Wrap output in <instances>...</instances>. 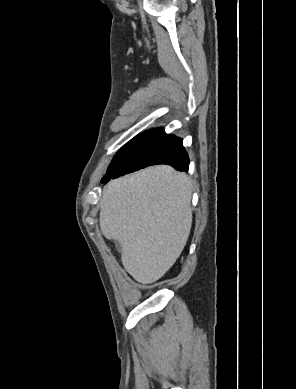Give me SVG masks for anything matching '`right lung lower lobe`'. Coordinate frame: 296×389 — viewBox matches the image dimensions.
I'll return each instance as SVG.
<instances>
[{
    "mask_svg": "<svg viewBox=\"0 0 296 389\" xmlns=\"http://www.w3.org/2000/svg\"><path fill=\"white\" fill-rule=\"evenodd\" d=\"M168 164L179 171H188L189 158L186 153L182 139L174 135H167L149 153L146 162L137 168H126L120 170L107 171L102 178L103 183H107L111 178H117L130 172L137 171L151 165Z\"/></svg>",
    "mask_w": 296,
    "mask_h": 389,
    "instance_id": "98d812e1",
    "label": "right lung lower lobe"
}]
</instances>
